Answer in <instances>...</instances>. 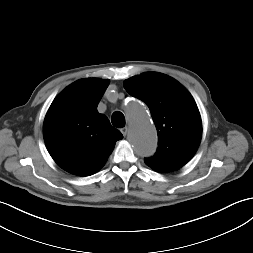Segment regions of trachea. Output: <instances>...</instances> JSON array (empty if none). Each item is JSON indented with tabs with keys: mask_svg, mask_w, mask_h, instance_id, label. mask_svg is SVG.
I'll list each match as a JSON object with an SVG mask.
<instances>
[{
	"mask_svg": "<svg viewBox=\"0 0 253 253\" xmlns=\"http://www.w3.org/2000/svg\"><path fill=\"white\" fill-rule=\"evenodd\" d=\"M111 122L113 124V126L117 127V128H121L125 126V117L123 115V113L117 111L115 113H113L112 117H111Z\"/></svg>",
	"mask_w": 253,
	"mask_h": 253,
	"instance_id": "trachea-1",
	"label": "trachea"
}]
</instances>
